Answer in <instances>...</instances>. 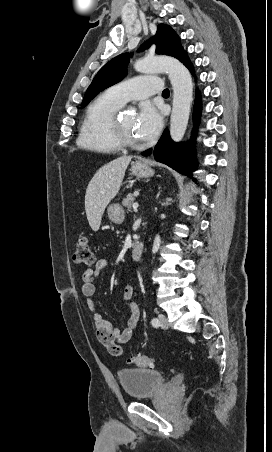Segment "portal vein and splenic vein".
<instances>
[{
    "label": "portal vein and splenic vein",
    "instance_id": "1",
    "mask_svg": "<svg viewBox=\"0 0 272 452\" xmlns=\"http://www.w3.org/2000/svg\"><path fill=\"white\" fill-rule=\"evenodd\" d=\"M138 206H139L138 203H134V204H133V209L136 211L137 208H138Z\"/></svg>",
    "mask_w": 272,
    "mask_h": 452
}]
</instances>
